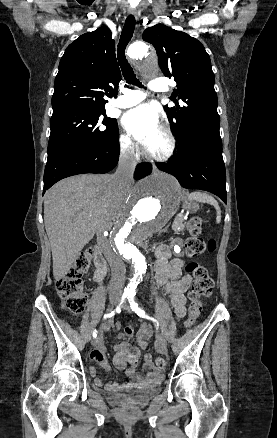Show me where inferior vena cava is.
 Segmentation results:
<instances>
[{
  "mask_svg": "<svg viewBox=\"0 0 277 438\" xmlns=\"http://www.w3.org/2000/svg\"><path fill=\"white\" fill-rule=\"evenodd\" d=\"M137 166L136 158L131 152H120L118 168L113 174V180L118 190H127L133 182L135 168ZM112 272L110 290H122L125 282V266L120 258L108 260Z\"/></svg>",
  "mask_w": 277,
  "mask_h": 438,
  "instance_id": "inferior-vena-cava-1",
  "label": "inferior vena cava"
}]
</instances>
